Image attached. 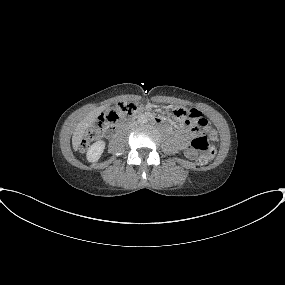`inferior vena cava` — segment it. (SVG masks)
Listing matches in <instances>:
<instances>
[{
	"instance_id": "obj_1",
	"label": "inferior vena cava",
	"mask_w": 285,
	"mask_h": 285,
	"mask_svg": "<svg viewBox=\"0 0 285 285\" xmlns=\"http://www.w3.org/2000/svg\"><path fill=\"white\" fill-rule=\"evenodd\" d=\"M134 125H136V123H131L130 125H128V128H132Z\"/></svg>"
}]
</instances>
